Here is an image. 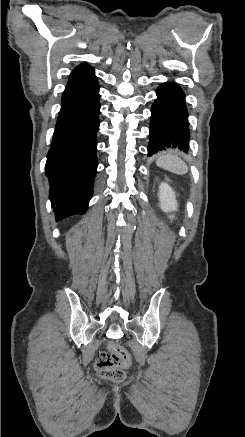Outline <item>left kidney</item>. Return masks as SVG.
<instances>
[{
	"instance_id": "obj_1",
	"label": "left kidney",
	"mask_w": 245,
	"mask_h": 437,
	"mask_svg": "<svg viewBox=\"0 0 245 437\" xmlns=\"http://www.w3.org/2000/svg\"><path fill=\"white\" fill-rule=\"evenodd\" d=\"M159 200H160V208L164 212H172L177 211L178 203L176 200L175 192L173 189L166 183L162 182L159 186ZM170 219H173L174 216H169Z\"/></svg>"
}]
</instances>
